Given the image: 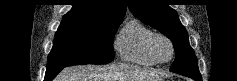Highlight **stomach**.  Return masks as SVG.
Listing matches in <instances>:
<instances>
[{
	"mask_svg": "<svg viewBox=\"0 0 237 81\" xmlns=\"http://www.w3.org/2000/svg\"><path fill=\"white\" fill-rule=\"evenodd\" d=\"M153 81H164V79L163 78H159V79L153 80Z\"/></svg>",
	"mask_w": 237,
	"mask_h": 81,
	"instance_id": "stomach-1",
	"label": "stomach"
}]
</instances>
